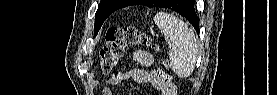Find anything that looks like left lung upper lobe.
Listing matches in <instances>:
<instances>
[{"label":"left lung upper lobe","instance_id":"obj_1","mask_svg":"<svg viewBox=\"0 0 277 95\" xmlns=\"http://www.w3.org/2000/svg\"><path fill=\"white\" fill-rule=\"evenodd\" d=\"M133 0H101L95 14L94 35L98 33L106 18L114 11L128 6ZM163 0H150L148 7H159ZM181 0L176 1L178 5Z\"/></svg>","mask_w":277,"mask_h":95}]
</instances>
